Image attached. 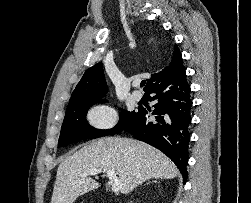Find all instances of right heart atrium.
<instances>
[{
    "instance_id": "obj_1",
    "label": "right heart atrium",
    "mask_w": 251,
    "mask_h": 203,
    "mask_svg": "<svg viewBox=\"0 0 251 203\" xmlns=\"http://www.w3.org/2000/svg\"><path fill=\"white\" fill-rule=\"evenodd\" d=\"M88 119L94 128L107 130L115 125L117 114L113 107L106 104H100L90 110Z\"/></svg>"
}]
</instances>
